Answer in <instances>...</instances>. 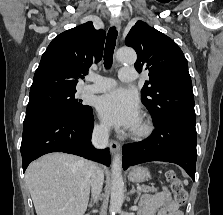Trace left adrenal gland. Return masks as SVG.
I'll return each instance as SVG.
<instances>
[{"label": "left adrenal gland", "mask_w": 223, "mask_h": 215, "mask_svg": "<svg viewBox=\"0 0 223 215\" xmlns=\"http://www.w3.org/2000/svg\"><path fill=\"white\" fill-rule=\"evenodd\" d=\"M129 193H137V197L136 199H134V203H137L139 195L141 193L140 189H135L134 185H132V189H130Z\"/></svg>", "instance_id": "a2214340"}]
</instances>
